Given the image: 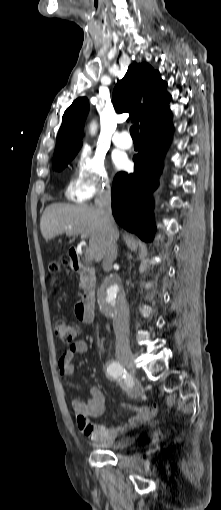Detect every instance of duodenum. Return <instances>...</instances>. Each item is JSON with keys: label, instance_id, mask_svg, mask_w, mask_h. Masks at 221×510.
Returning <instances> with one entry per match:
<instances>
[{"label": "duodenum", "instance_id": "obj_1", "mask_svg": "<svg viewBox=\"0 0 221 510\" xmlns=\"http://www.w3.org/2000/svg\"><path fill=\"white\" fill-rule=\"evenodd\" d=\"M70 257L71 268L82 276L85 283L82 299L77 303L75 312L82 322L89 324L94 321L96 272L81 261L76 249L70 251Z\"/></svg>", "mask_w": 221, "mask_h": 510}]
</instances>
